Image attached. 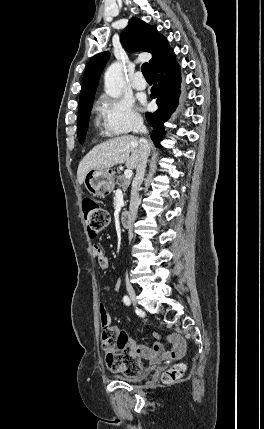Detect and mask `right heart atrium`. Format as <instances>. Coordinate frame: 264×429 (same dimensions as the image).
Instances as JSON below:
<instances>
[{
    "label": "right heart atrium",
    "mask_w": 264,
    "mask_h": 429,
    "mask_svg": "<svg viewBox=\"0 0 264 429\" xmlns=\"http://www.w3.org/2000/svg\"><path fill=\"white\" fill-rule=\"evenodd\" d=\"M96 108L105 132L110 135L118 136L130 133L142 124L141 116L128 98L103 95L98 99Z\"/></svg>",
    "instance_id": "right-heart-atrium-1"
}]
</instances>
